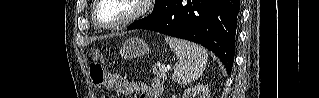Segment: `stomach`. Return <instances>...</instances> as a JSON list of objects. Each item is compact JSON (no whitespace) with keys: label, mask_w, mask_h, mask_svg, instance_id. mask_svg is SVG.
Instances as JSON below:
<instances>
[{"label":"stomach","mask_w":319,"mask_h":98,"mask_svg":"<svg viewBox=\"0 0 319 98\" xmlns=\"http://www.w3.org/2000/svg\"><path fill=\"white\" fill-rule=\"evenodd\" d=\"M151 50L150 45L140 38H129L123 44L120 53L124 59H133L144 56Z\"/></svg>","instance_id":"0dacf381"}]
</instances>
